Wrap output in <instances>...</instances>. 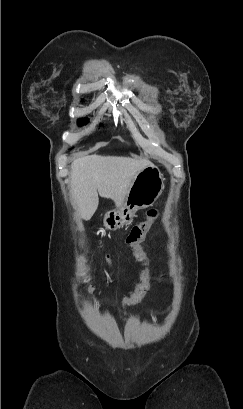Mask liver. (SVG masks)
<instances>
[{
  "mask_svg": "<svg viewBox=\"0 0 243 409\" xmlns=\"http://www.w3.org/2000/svg\"><path fill=\"white\" fill-rule=\"evenodd\" d=\"M139 157L86 155L71 164L72 204L81 218L90 219L98 208V193L114 201L117 207L124 204L135 176L150 165Z\"/></svg>",
  "mask_w": 243,
  "mask_h": 409,
  "instance_id": "liver-1",
  "label": "liver"
}]
</instances>
